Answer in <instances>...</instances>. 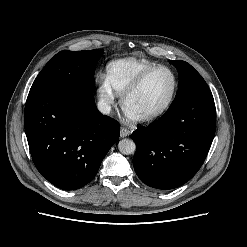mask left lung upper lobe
Masks as SVG:
<instances>
[{"instance_id": "obj_1", "label": "left lung upper lobe", "mask_w": 247, "mask_h": 247, "mask_svg": "<svg viewBox=\"0 0 247 247\" xmlns=\"http://www.w3.org/2000/svg\"><path fill=\"white\" fill-rule=\"evenodd\" d=\"M179 73L178 91L172 105L197 96L212 97V93L203 77L187 62L182 60L170 61Z\"/></svg>"}]
</instances>
